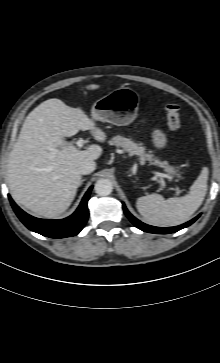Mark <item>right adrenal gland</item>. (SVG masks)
Returning a JSON list of instances; mask_svg holds the SVG:
<instances>
[{
	"label": "right adrenal gland",
	"instance_id": "2a0ac1e0",
	"mask_svg": "<svg viewBox=\"0 0 220 363\" xmlns=\"http://www.w3.org/2000/svg\"><path fill=\"white\" fill-rule=\"evenodd\" d=\"M84 181H85V179H82L81 182H80V185H82Z\"/></svg>",
	"mask_w": 220,
	"mask_h": 363
}]
</instances>
